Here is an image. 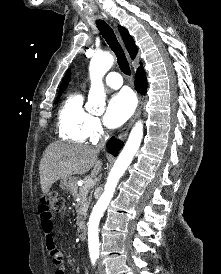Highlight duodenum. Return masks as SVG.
<instances>
[{
	"mask_svg": "<svg viewBox=\"0 0 221 274\" xmlns=\"http://www.w3.org/2000/svg\"><path fill=\"white\" fill-rule=\"evenodd\" d=\"M78 239L81 242L86 241L87 239V227L85 224H82L79 229H78V233H77Z\"/></svg>",
	"mask_w": 221,
	"mask_h": 274,
	"instance_id": "410a0bca",
	"label": "duodenum"
}]
</instances>
